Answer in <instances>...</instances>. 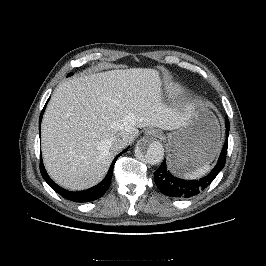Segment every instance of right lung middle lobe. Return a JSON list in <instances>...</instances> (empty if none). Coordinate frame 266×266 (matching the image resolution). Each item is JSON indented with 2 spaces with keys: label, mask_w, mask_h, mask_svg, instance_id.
Instances as JSON below:
<instances>
[{
  "label": "right lung middle lobe",
  "mask_w": 266,
  "mask_h": 266,
  "mask_svg": "<svg viewBox=\"0 0 266 266\" xmlns=\"http://www.w3.org/2000/svg\"><path fill=\"white\" fill-rule=\"evenodd\" d=\"M71 75H73V74L72 73L68 74V76H71Z\"/></svg>",
  "instance_id": "right-lung-middle-lobe-1"
}]
</instances>
